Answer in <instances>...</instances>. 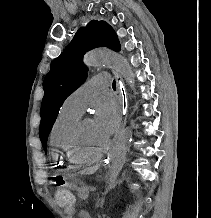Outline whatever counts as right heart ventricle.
I'll return each mask as SVG.
<instances>
[{"label": "right heart ventricle", "instance_id": "1", "mask_svg": "<svg viewBox=\"0 0 211 218\" xmlns=\"http://www.w3.org/2000/svg\"><path fill=\"white\" fill-rule=\"evenodd\" d=\"M81 115L64 105L60 108L51 130L53 144L50 147V162H52L53 169H81V164L96 161L80 160L71 150V131Z\"/></svg>", "mask_w": 211, "mask_h": 218}]
</instances>
